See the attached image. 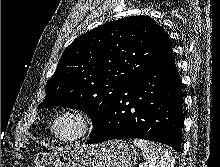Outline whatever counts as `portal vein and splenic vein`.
<instances>
[{
	"label": "portal vein and splenic vein",
	"mask_w": 220,
	"mask_h": 167,
	"mask_svg": "<svg viewBox=\"0 0 220 167\" xmlns=\"http://www.w3.org/2000/svg\"><path fill=\"white\" fill-rule=\"evenodd\" d=\"M140 167H146L145 165H141Z\"/></svg>",
	"instance_id": "1"
}]
</instances>
